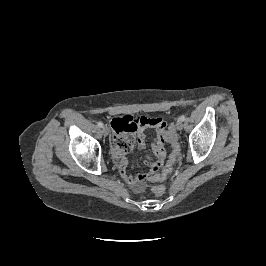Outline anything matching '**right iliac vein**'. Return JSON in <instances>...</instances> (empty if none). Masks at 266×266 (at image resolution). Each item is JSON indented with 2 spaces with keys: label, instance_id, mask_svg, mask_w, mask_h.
<instances>
[{
  "label": "right iliac vein",
  "instance_id": "63e3f726",
  "mask_svg": "<svg viewBox=\"0 0 266 266\" xmlns=\"http://www.w3.org/2000/svg\"><path fill=\"white\" fill-rule=\"evenodd\" d=\"M102 133L107 136L109 134V129L106 126H103Z\"/></svg>",
  "mask_w": 266,
  "mask_h": 266
}]
</instances>
